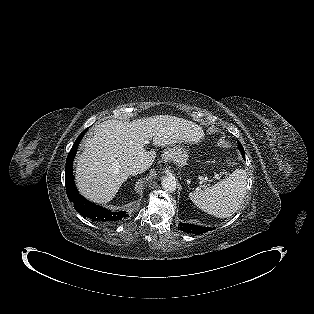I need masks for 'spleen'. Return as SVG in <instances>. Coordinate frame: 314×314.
<instances>
[{"instance_id": "spleen-1", "label": "spleen", "mask_w": 314, "mask_h": 314, "mask_svg": "<svg viewBox=\"0 0 314 314\" xmlns=\"http://www.w3.org/2000/svg\"><path fill=\"white\" fill-rule=\"evenodd\" d=\"M245 194L246 172L237 169L212 187L190 192L189 198L202 211L218 218H226L237 212Z\"/></svg>"}]
</instances>
